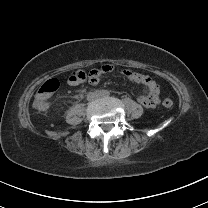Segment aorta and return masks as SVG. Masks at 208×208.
Masks as SVG:
<instances>
[{
  "label": "aorta",
  "instance_id": "aorta-1",
  "mask_svg": "<svg viewBox=\"0 0 208 208\" xmlns=\"http://www.w3.org/2000/svg\"><path fill=\"white\" fill-rule=\"evenodd\" d=\"M100 96H101L102 99L107 100V99L110 98L111 93H110L109 90L104 89V90L101 91Z\"/></svg>",
  "mask_w": 208,
  "mask_h": 208
}]
</instances>
